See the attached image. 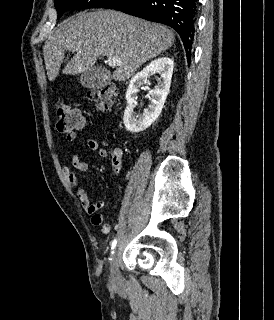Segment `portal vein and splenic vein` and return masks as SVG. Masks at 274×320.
<instances>
[{"instance_id": "1", "label": "portal vein and splenic vein", "mask_w": 274, "mask_h": 320, "mask_svg": "<svg viewBox=\"0 0 274 320\" xmlns=\"http://www.w3.org/2000/svg\"><path fill=\"white\" fill-rule=\"evenodd\" d=\"M106 64H108V66H121V62L116 60V58H107Z\"/></svg>"}]
</instances>
